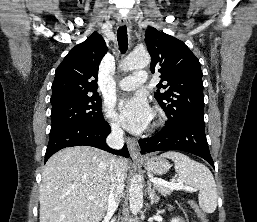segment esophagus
Returning <instances> with one entry per match:
<instances>
[{"instance_id":"obj_1","label":"esophagus","mask_w":257,"mask_h":222,"mask_svg":"<svg viewBox=\"0 0 257 222\" xmlns=\"http://www.w3.org/2000/svg\"><path fill=\"white\" fill-rule=\"evenodd\" d=\"M119 23L122 26L123 25L128 26L129 30H131V23H130L129 19L122 17L119 19ZM126 144H127V147L129 149V152H130V155L132 156V158L139 157L137 141L133 138L128 137V138H126Z\"/></svg>"}]
</instances>
